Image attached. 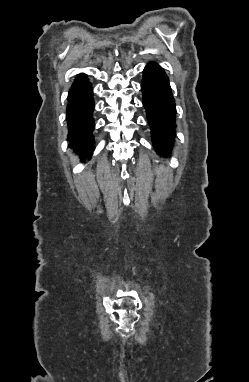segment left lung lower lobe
I'll return each instance as SVG.
<instances>
[{
  "mask_svg": "<svg viewBox=\"0 0 249 382\" xmlns=\"http://www.w3.org/2000/svg\"><path fill=\"white\" fill-rule=\"evenodd\" d=\"M141 90L154 148L161 156L170 155L175 137V101L169 79L158 64L151 62L145 67Z\"/></svg>",
  "mask_w": 249,
  "mask_h": 382,
  "instance_id": "0a47b994",
  "label": "left lung lower lobe"
}]
</instances>
